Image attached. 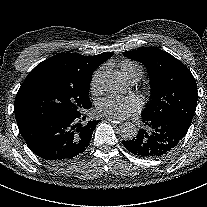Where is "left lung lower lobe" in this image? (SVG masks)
Returning <instances> with one entry per match:
<instances>
[{"instance_id":"obj_1","label":"left lung lower lobe","mask_w":207,"mask_h":207,"mask_svg":"<svg viewBox=\"0 0 207 207\" xmlns=\"http://www.w3.org/2000/svg\"><path fill=\"white\" fill-rule=\"evenodd\" d=\"M144 129L129 141H123L131 153L147 158H156L167 154L186 135L188 129L171 118H143Z\"/></svg>"}]
</instances>
